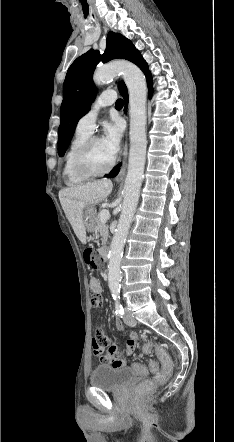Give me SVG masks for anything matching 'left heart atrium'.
<instances>
[{"label": "left heart atrium", "mask_w": 234, "mask_h": 442, "mask_svg": "<svg viewBox=\"0 0 234 442\" xmlns=\"http://www.w3.org/2000/svg\"><path fill=\"white\" fill-rule=\"evenodd\" d=\"M122 136V127L118 121L108 122L104 126V135L101 139L106 150L114 157L119 150Z\"/></svg>", "instance_id": "1"}]
</instances>
